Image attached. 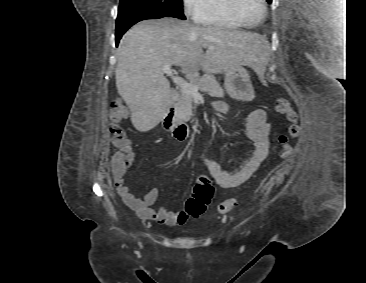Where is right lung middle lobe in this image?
<instances>
[{
  "instance_id": "1",
  "label": "right lung middle lobe",
  "mask_w": 366,
  "mask_h": 283,
  "mask_svg": "<svg viewBox=\"0 0 366 283\" xmlns=\"http://www.w3.org/2000/svg\"><path fill=\"white\" fill-rule=\"evenodd\" d=\"M139 14H156L185 20L182 0H121L117 19Z\"/></svg>"
}]
</instances>
